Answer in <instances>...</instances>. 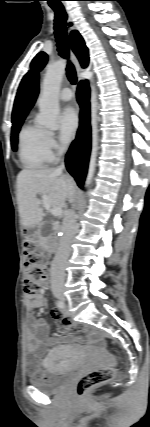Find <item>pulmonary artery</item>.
Instances as JSON below:
<instances>
[{"label": "pulmonary artery", "mask_w": 150, "mask_h": 427, "mask_svg": "<svg viewBox=\"0 0 150 427\" xmlns=\"http://www.w3.org/2000/svg\"><path fill=\"white\" fill-rule=\"evenodd\" d=\"M59 99L61 101H69L72 99V91L70 88H63L59 93Z\"/></svg>", "instance_id": "e3ab8cb5"}]
</instances>
